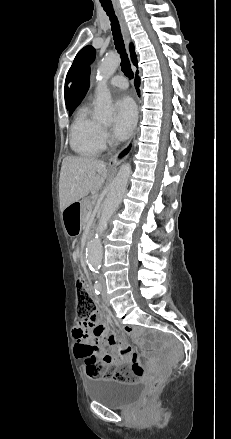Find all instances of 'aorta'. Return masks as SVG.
<instances>
[{
  "label": "aorta",
  "instance_id": "1",
  "mask_svg": "<svg viewBox=\"0 0 231 439\" xmlns=\"http://www.w3.org/2000/svg\"><path fill=\"white\" fill-rule=\"evenodd\" d=\"M119 65V56L115 53L106 55L97 70L98 95L95 102L94 117L100 122L108 123L112 120L113 106L111 94L107 87L109 78L115 73ZM131 174V166L124 164L119 169L116 177L111 183L109 193L104 201L100 219L96 228L95 236L87 244L86 257L88 265L94 271L99 270L103 258V247L101 236L108 226V222L119 207L122 197L126 191L128 179Z\"/></svg>",
  "mask_w": 231,
  "mask_h": 439
}]
</instances>
